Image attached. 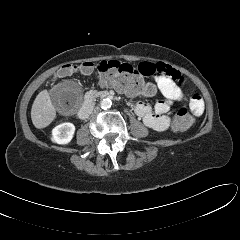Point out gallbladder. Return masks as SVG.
<instances>
[{
	"label": "gallbladder",
	"mask_w": 240,
	"mask_h": 240,
	"mask_svg": "<svg viewBox=\"0 0 240 240\" xmlns=\"http://www.w3.org/2000/svg\"><path fill=\"white\" fill-rule=\"evenodd\" d=\"M67 86V84H63L61 87H66Z\"/></svg>",
	"instance_id": "gallbladder-1"
}]
</instances>
